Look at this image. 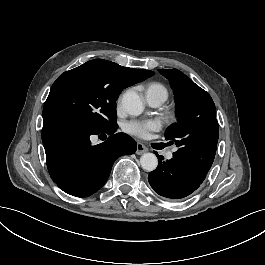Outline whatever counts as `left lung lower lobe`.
Segmentation results:
<instances>
[{
    "instance_id": "1",
    "label": "left lung lower lobe",
    "mask_w": 265,
    "mask_h": 265,
    "mask_svg": "<svg viewBox=\"0 0 265 265\" xmlns=\"http://www.w3.org/2000/svg\"><path fill=\"white\" fill-rule=\"evenodd\" d=\"M205 177L178 158L163 161L159 156L158 167L149 173L148 181L157 194L183 199L198 189Z\"/></svg>"
}]
</instances>
